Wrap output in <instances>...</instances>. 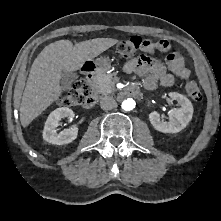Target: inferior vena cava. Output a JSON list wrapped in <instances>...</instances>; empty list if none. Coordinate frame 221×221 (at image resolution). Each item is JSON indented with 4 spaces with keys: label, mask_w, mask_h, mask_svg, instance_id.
<instances>
[{
    "label": "inferior vena cava",
    "mask_w": 221,
    "mask_h": 221,
    "mask_svg": "<svg viewBox=\"0 0 221 221\" xmlns=\"http://www.w3.org/2000/svg\"><path fill=\"white\" fill-rule=\"evenodd\" d=\"M100 107L103 110H111L116 107V101L111 96H102L100 98Z\"/></svg>",
    "instance_id": "602c4592"
}]
</instances>
